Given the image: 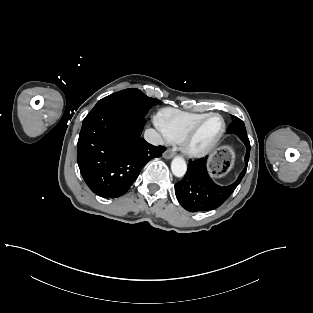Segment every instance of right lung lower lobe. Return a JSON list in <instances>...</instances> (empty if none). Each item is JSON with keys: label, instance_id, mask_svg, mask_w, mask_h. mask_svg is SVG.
<instances>
[{"label": "right lung lower lobe", "instance_id": "98d812e1", "mask_svg": "<svg viewBox=\"0 0 313 313\" xmlns=\"http://www.w3.org/2000/svg\"><path fill=\"white\" fill-rule=\"evenodd\" d=\"M146 120L127 108L105 106L83 120L77 162L83 179L97 195L125 194L143 166L166 150L140 137Z\"/></svg>", "mask_w": 313, "mask_h": 313}]
</instances>
